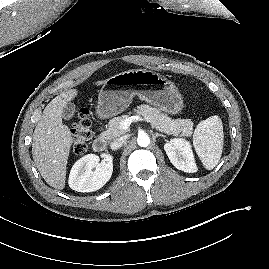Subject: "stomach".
Listing matches in <instances>:
<instances>
[{"instance_id": "obj_1", "label": "stomach", "mask_w": 269, "mask_h": 269, "mask_svg": "<svg viewBox=\"0 0 269 269\" xmlns=\"http://www.w3.org/2000/svg\"><path fill=\"white\" fill-rule=\"evenodd\" d=\"M134 96L170 115L180 114L185 107L182 94L173 82L150 70L132 69L105 81L98 96V117L107 119L120 114Z\"/></svg>"}]
</instances>
